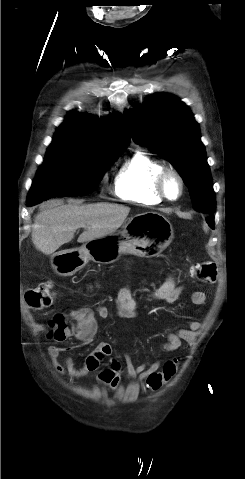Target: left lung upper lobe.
Returning a JSON list of instances; mask_svg holds the SVG:
<instances>
[{"instance_id":"1","label":"left lung upper lobe","mask_w":245,"mask_h":479,"mask_svg":"<svg viewBox=\"0 0 245 479\" xmlns=\"http://www.w3.org/2000/svg\"><path fill=\"white\" fill-rule=\"evenodd\" d=\"M124 116L134 141L167 158L187 185L193 207L212 215L216 200L210 168L199 126L185 103L155 93Z\"/></svg>"}]
</instances>
